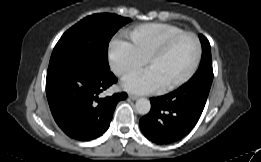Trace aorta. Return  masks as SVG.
I'll return each mask as SVG.
<instances>
[{
  "label": "aorta",
  "mask_w": 261,
  "mask_h": 162,
  "mask_svg": "<svg viewBox=\"0 0 261 162\" xmlns=\"http://www.w3.org/2000/svg\"><path fill=\"white\" fill-rule=\"evenodd\" d=\"M136 111L141 115H146L151 109L150 101L146 98H140L135 104Z\"/></svg>",
  "instance_id": "1"
}]
</instances>
